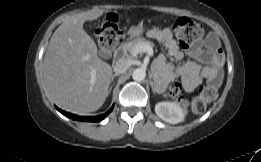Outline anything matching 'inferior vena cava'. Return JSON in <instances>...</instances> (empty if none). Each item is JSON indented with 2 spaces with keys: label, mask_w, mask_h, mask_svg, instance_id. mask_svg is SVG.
Listing matches in <instances>:
<instances>
[{
  "label": "inferior vena cava",
  "mask_w": 261,
  "mask_h": 162,
  "mask_svg": "<svg viewBox=\"0 0 261 162\" xmlns=\"http://www.w3.org/2000/svg\"><path fill=\"white\" fill-rule=\"evenodd\" d=\"M130 63L126 59H119L113 66L115 74H123L129 68Z\"/></svg>",
  "instance_id": "inferior-vena-cava-1"
}]
</instances>
